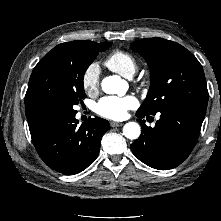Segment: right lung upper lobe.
<instances>
[{
    "instance_id": "cb5924a9",
    "label": "right lung upper lobe",
    "mask_w": 221,
    "mask_h": 221,
    "mask_svg": "<svg viewBox=\"0 0 221 221\" xmlns=\"http://www.w3.org/2000/svg\"><path fill=\"white\" fill-rule=\"evenodd\" d=\"M86 41H71V42H67V43H62L57 45L55 48H53L50 52H48L42 60H45L46 58L52 57L58 53L64 52L66 50H68L69 48L84 43ZM36 69L33 70L30 80H29V85H28V90L26 92V96H25V106L26 108L33 106V105H37V102L35 100V91L38 85V78H37V74H36Z\"/></svg>"
}]
</instances>
